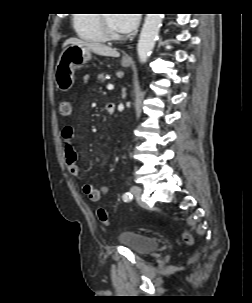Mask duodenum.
Here are the masks:
<instances>
[{
  "label": "duodenum",
  "instance_id": "410a0bca",
  "mask_svg": "<svg viewBox=\"0 0 252 303\" xmlns=\"http://www.w3.org/2000/svg\"><path fill=\"white\" fill-rule=\"evenodd\" d=\"M107 114L112 115L115 111V107L112 103H108L105 107Z\"/></svg>",
  "mask_w": 252,
  "mask_h": 303
}]
</instances>
